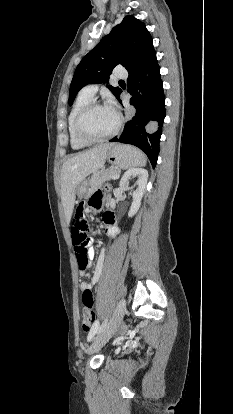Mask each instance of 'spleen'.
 Masks as SVG:
<instances>
[{
    "mask_svg": "<svg viewBox=\"0 0 233 414\" xmlns=\"http://www.w3.org/2000/svg\"><path fill=\"white\" fill-rule=\"evenodd\" d=\"M145 165H146V158L144 156V159L139 164H136L134 167H137V166H145Z\"/></svg>",
    "mask_w": 233,
    "mask_h": 414,
    "instance_id": "3e777b00",
    "label": "spleen"
}]
</instances>
